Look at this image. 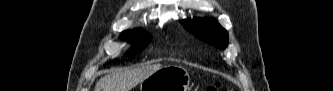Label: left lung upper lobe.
Wrapping results in <instances>:
<instances>
[{"mask_svg": "<svg viewBox=\"0 0 333 91\" xmlns=\"http://www.w3.org/2000/svg\"><path fill=\"white\" fill-rule=\"evenodd\" d=\"M197 38L225 49L228 44V33L215 19H193L181 22Z\"/></svg>", "mask_w": 333, "mask_h": 91, "instance_id": "obj_1", "label": "left lung upper lobe"}]
</instances>
